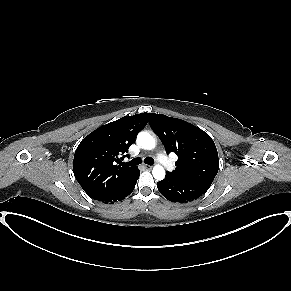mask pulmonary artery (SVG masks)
Returning <instances> with one entry per match:
<instances>
[{"mask_svg": "<svg viewBox=\"0 0 291 291\" xmlns=\"http://www.w3.org/2000/svg\"><path fill=\"white\" fill-rule=\"evenodd\" d=\"M157 157H158L159 162L165 168H167L169 170L173 169V166H172L171 162L168 160V158L162 152H158Z\"/></svg>", "mask_w": 291, "mask_h": 291, "instance_id": "pulmonary-artery-1", "label": "pulmonary artery"}]
</instances>
